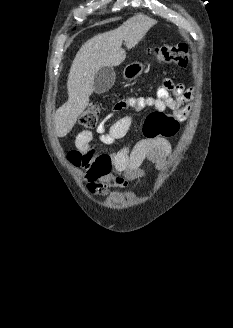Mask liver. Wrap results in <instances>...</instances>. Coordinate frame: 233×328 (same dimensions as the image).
<instances>
[{
  "label": "liver",
  "instance_id": "liver-1",
  "mask_svg": "<svg viewBox=\"0 0 233 328\" xmlns=\"http://www.w3.org/2000/svg\"><path fill=\"white\" fill-rule=\"evenodd\" d=\"M154 24L147 17L136 16L115 30L92 37L81 46L68 75V100L55 113L54 125L58 137H64L72 130L87 107L94 91V76L99 69L120 65L126 58V51L121 48L122 42L125 41L128 50L132 49Z\"/></svg>",
  "mask_w": 233,
  "mask_h": 328
}]
</instances>
